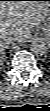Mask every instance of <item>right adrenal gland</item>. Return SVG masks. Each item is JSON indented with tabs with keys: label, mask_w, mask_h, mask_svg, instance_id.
I'll list each match as a JSON object with an SVG mask.
<instances>
[{
	"label": "right adrenal gland",
	"mask_w": 50,
	"mask_h": 111,
	"mask_svg": "<svg viewBox=\"0 0 50 111\" xmlns=\"http://www.w3.org/2000/svg\"><path fill=\"white\" fill-rule=\"evenodd\" d=\"M5 56H6V53L5 51L1 52V58L5 61Z\"/></svg>",
	"instance_id": "2a0ac1e0"
}]
</instances>
